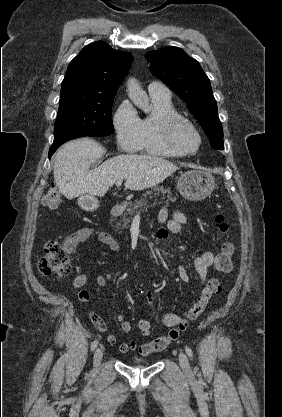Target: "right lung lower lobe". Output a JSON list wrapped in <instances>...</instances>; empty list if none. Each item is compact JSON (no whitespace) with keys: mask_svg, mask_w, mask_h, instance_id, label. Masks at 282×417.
Instances as JSON below:
<instances>
[{"mask_svg":"<svg viewBox=\"0 0 282 417\" xmlns=\"http://www.w3.org/2000/svg\"><path fill=\"white\" fill-rule=\"evenodd\" d=\"M87 135L84 134H69V135H65L59 138L54 139V142L49 150V158L52 156V154L57 150V148L63 144L64 142L74 139V138H78V137H84Z\"/></svg>","mask_w":282,"mask_h":417,"instance_id":"1","label":"right lung lower lobe"}]
</instances>
